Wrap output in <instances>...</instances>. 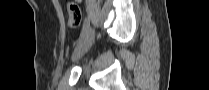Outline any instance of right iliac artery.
Here are the masks:
<instances>
[{"mask_svg":"<svg viewBox=\"0 0 209 90\" xmlns=\"http://www.w3.org/2000/svg\"><path fill=\"white\" fill-rule=\"evenodd\" d=\"M89 27H90V25H89V19L86 18L85 21H84V24H83V28H82V32H81L80 38H79V40L77 42L76 49L81 45V43L83 42L84 38L88 34Z\"/></svg>","mask_w":209,"mask_h":90,"instance_id":"82829eb1","label":"right iliac artery"}]
</instances>
